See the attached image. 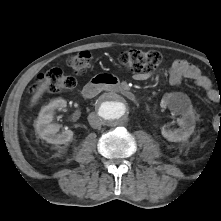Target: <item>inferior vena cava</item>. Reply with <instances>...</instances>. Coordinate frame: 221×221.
I'll return each mask as SVG.
<instances>
[{
	"mask_svg": "<svg viewBox=\"0 0 221 221\" xmlns=\"http://www.w3.org/2000/svg\"><path fill=\"white\" fill-rule=\"evenodd\" d=\"M88 121L92 128L97 129L101 127V121L99 119V116L95 114L94 112L89 114Z\"/></svg>",
	"mask_w": 221,
	"mask_h": 221,
	"instance_id": "602c4592",
	"label": "inferior vena cava"
}]
</instances>
